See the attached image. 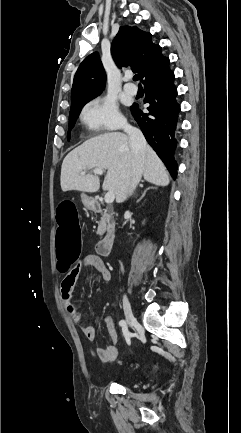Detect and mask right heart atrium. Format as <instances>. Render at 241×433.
Returning <instances> with one entry per match:
<instances>
[{
  "label": "right heart atrium",
  "instance_id": "1",
  "mask_svg": "<svg viewBox=\"0 0 241 433\" xmlns=\"http://www.w3.org/2000/svg\"><path fill=\"white\" fill-rule=\"evenodd\" d=\"M82 123L90 130H117L124 126V119L114 100L95 98L80 113Z\"/></svg>",
  "mask_w": 241,
  "mask_h": 433
}]
</instances>
